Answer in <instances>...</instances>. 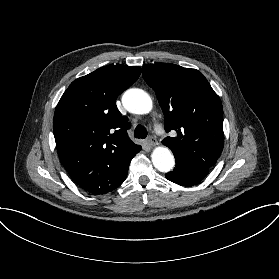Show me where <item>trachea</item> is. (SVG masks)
I'll use <instances>...</instances> for the list:
<instances>
[{"instance_id": "trachea-1", "label": "trachea", "mask_w": 279, "mask_h": 279, "mask_svg": "<svg viewBox=\"0 0 279 279\" xmlns=\"http://www.w3.org/2000/svg\"><path fill=\"white\" fill-rule=\"evenodd\" d=\"M134 136L136 138H139V139H145L146 136H147V130L144 126L142 125H138L136 128H135V131H134Z\"/></svg>"}]
</instances>
